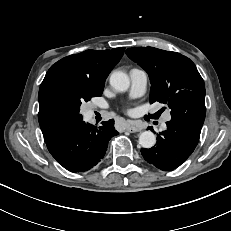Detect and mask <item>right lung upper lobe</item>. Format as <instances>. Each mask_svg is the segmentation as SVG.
I'll use <instances>...</instances> for the list:
<instances>
[{"instance_id":"cb5924a9","label":"right lung upper lobe","mask_w":231,"mask_h":231,"mask_svg":"<svg viewBox=\"0 0 231 231\" xmlns=\"http://www.w3.org/2000/svg\"><path fill=\"white\" fill-rule=\"evenodd\" d=\"M124 49L87 50L67 56L50 67L38 94V120L45 141L61 129L81 121L64 104V90L76 84L104 87L107 76L123 56Z\"/></svg>"}]
</instances>
